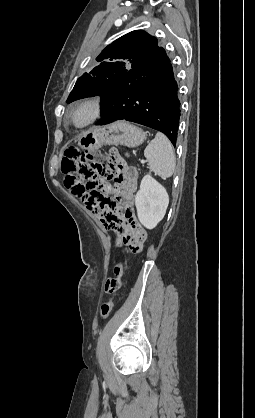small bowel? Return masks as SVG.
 I'll use <instances>...</instances> for the list:
<instances>
[{
  "label": "small bowel",
  "mask_w": 255,
  "mask_h": 418,
  "mask_svg": "<svg viewBox=\"0 0 255 418\" xmlns=\"http://www.w3.org/2000/svg\"><path fill=\"white\" fill-rule=\"evenodd\" d=\"M124 154L120 153L119 147H110L107 156L108 163H115L117 173L114 176V184L110 188V193L119 201L120 207L118 209V217L125 219L133 215V197L137 189L138 174L134 168L127 167L124 164ZM101 222V221H100ZM101 224L110 229L108 221H102ZM114 235H120L122 242L119 246L125 250L127 255L140 256L141 249L145 247V229L144 228H115ZM124 266L117 264L115 266L114 274H108L107 281L104 286L106 297L115 299L117 297L116 291L119 288L120 280L123 278Z\"/></svg>",
  "instance_id": "small-bowel-1"
}]
</instances>
